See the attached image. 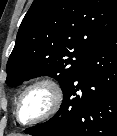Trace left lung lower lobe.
Returning a JSON list of instances; mask_svg holds the SVG:
<instances>
[{
    "mask_svg": "<svg viewBox=\"0 0 117 136\" xmlns=\"http://www.w3.org/2000/svg\"><path fill=\"white\" fill-rule=\"evenodd\" d=\"M63 94L55 116L26 134L117 136V23L92 48Z\"/></svg>",
    "mask_w": 117,
    "mask_h": 136,
    "instance_id": "0a47b994",
    "label": "left lung lower lobe"
}]
</instances>
